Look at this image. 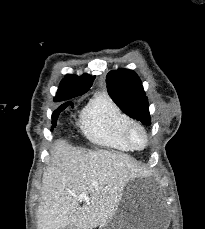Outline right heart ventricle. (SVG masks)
Here are the masks:
<instances>
[{
    "instance_id": "1",
    "label": "right heart ventricle",
    "mask_w": 205,
    "mask_h": 229,
    "mask_svg": "<svg viewBox=\"0 0 205 229\" xmlns=\"http://www.w3.org/2000/svg\"><path fill=\"white\" fill-rule=\"evenodd\" d=\"M80 122L92 142L118 151L132 149L125 138L131 120L109 95H95L83 110Z\"/></svg>"
}]
</instances>
